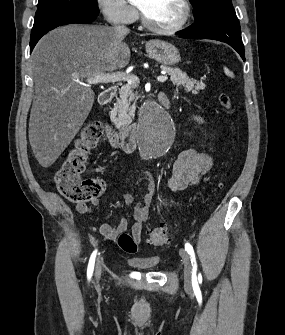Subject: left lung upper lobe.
Wrapping results in <instances>:
<instances>
[{
	"label": "left lung upper lobe",
	"mask_w": 285,
	"mask_h": 335,
	"mask_svg": "<svg viewBox=\"0 0 285 335\" xmlns=\"http://www.w3.org/2000/svg\"><path fill=\"white\" fill-rule=\"evenodd\" d=\"M194 8V19L211 10H232L231 0H190Z\"/></svg>",
	"instance_id": "1"
}]
</instances>
